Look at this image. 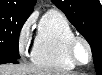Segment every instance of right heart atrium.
Here are the masks:
<instances>
[{
    "instance_id": "d8ad5b80",
    "label": "right heart atrium",
    "mask_w": 102,
    "mask_h": 75,
    "mask_svg": "<svg viewBox=\"0 0 102 75\" xmlns=\"http://www.w3.org/2000/svg\"><path fill=\"white\" fill-rule=\"evenodd\" d=\"M34 24V16L31 15L20 27L18 33V46L22 53H25L30 46L32 39V29Z\"/></svg>"
}]
</instances>
